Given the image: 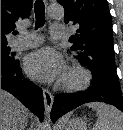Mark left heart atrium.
<instances>
[{
  "label": "left heart atrium",
  "mask_w": 123,
  "mask_h": 130,
  "mask_svg": "<svg viewBox=\"0 0 123 130\" xmlns=\"http://www.w3.org/2000/svg\"><path fill=\"white\" fill-rule=\"evenodd\" d=\"M25 70L34 79L52 81L65 75V64L57 51L43 47L27 56Z\"/></svg>",
  "instance_id": "obj_1"
}]
</instances>
